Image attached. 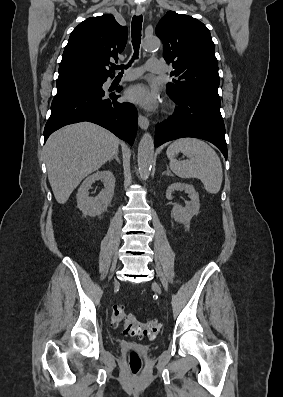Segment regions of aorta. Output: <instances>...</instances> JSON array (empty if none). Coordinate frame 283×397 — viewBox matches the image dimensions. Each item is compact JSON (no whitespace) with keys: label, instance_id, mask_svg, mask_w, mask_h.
Returning a JSON list of instances; mask_svg holds the SVG:
<instances>
[{"label":"aorta","instance_id":"1","mask_svg":"<svg viewBox=\"0 0 283 397\" xmlns=\"http://www.w3.org/2000/svg\"><path fill=\"white\" fill-rule=\"evenodd\" d=\"M160 41L157 37H147L143 41V48L146 51L155 50L159 47ZM154 156V143L150 133H145L138 146V169L142 180H147Z\"/></svg>","mask_w":283,"mask_h":397}]
</instances>
